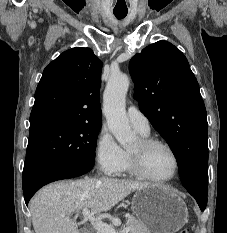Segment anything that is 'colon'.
<instances>
[{
    "instance_id": "5ec220e1",
    "label": "colon",
    "mask_w": 227,
    "mask_h": 233,
    "mask_svg": "<svg viewBox=\"0 0 227 233\" xmlns=\"http://www.w3.org/2000/svg\"><path fill=\"white\" fill-rule=\"evenodd\" d=\"M178 233H190V230L188 228H183V229L179 230Z\"/></svg>"
}]
</instances>
